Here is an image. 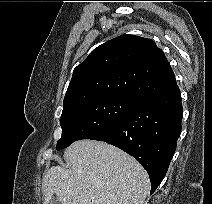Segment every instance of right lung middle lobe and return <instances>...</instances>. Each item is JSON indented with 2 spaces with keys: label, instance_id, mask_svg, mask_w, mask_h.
Masks as SVG:
<instances>
[{
  "label": "right lung middle lobe",
  "instance_id": "dd1d6c3e",
  "mask_svg": "<svg viewBox=\"0 0 212 204\" xmlns=\"http://www.w3.org/2000/svg\"><path fill=\"white\" fill-rule=\"evenodd\" d=\"M138 104L137 101L108 96L95 98L63 108L60 118L62 136L56 149L60 150L81 139H91L122 121Z\"/></svg>",
  "mask_w": 212,
  "mask_h": 204
}]
</instances>
